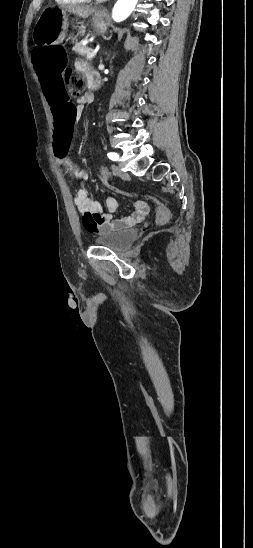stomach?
Segmentation results:
<instances>
[{
  "mask_svg": "<svg viewBox=\"0 0 253 548\" xmlns=\"http://www.w3.org/2000/svg\"><path fill=\"white\" fill-rule=\"evenodd\" d=\"M67 27L68 17L65 10L47 9L39 17L34 39L40 45L58 44L65 39ZM93 27L97 34H105L107 26L102 15L97 14L93 18Z\"/></svg>",
  "mask_w": 253,
  "mask_h": 548,
  "instance_id": "1",
  "label": "stomach"
}]
</instances>
